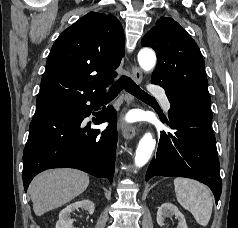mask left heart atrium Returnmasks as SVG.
I'll return each mask as SVG.
<instances>
[{
	"label": "left heart atrium",
	"instance_id": "left-heart-atrium-1",
	"mask_svg": "<svg viewBox=\"0 0 238 228\" xmlns=\"http://www.w3.org/2000/svg\"><path fill=\"white\" fill-rule=\"evenodd\" d=\"M132 119H133V117H131V116L128 117V120H132Z\"/></svg>",
	"mask_w": 238,
	"mask_h": 228
}]
</instances>
